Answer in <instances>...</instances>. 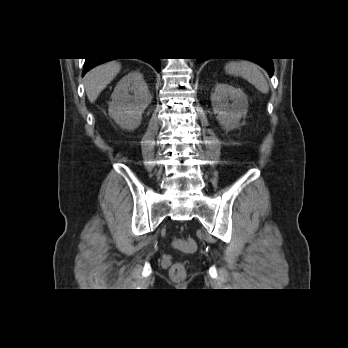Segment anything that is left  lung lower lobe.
<instances>
[{"instance_id": "left-lung-lower-lobe-1", "label": "left lung lower lobe", "mask_w": 348, "mask_h": 348, "mask_svg": "<svg viewBox=\"0 0 348 348\" xmlns=\"http://www.w3.org/2000/svg\"><path fill=\"white\" fill-rule=\"evenodd\" d=\"M205 59H197V62L200 63L202 61H204ZM247 60H251L257 64H259L260 66H262L263 68H265L269 75L272 76L273 75V71H274V67H273V62L271 59H247Z\"/></svg>"}]
</instances>
